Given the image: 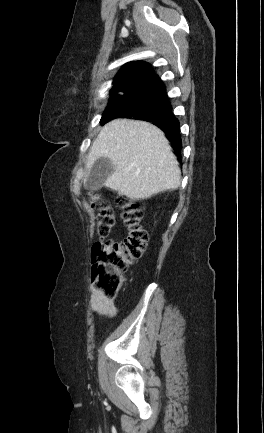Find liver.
<instances>
[{
	"label": "liver",
	"instance_id": "6515ba94",
	"mask_svg": "<svg viewBox=\"0 0 264 433\" xmlns=\"http://www.w3.org/2000/svg\"><path fill=\"white\" fill-rule=\"evenodd\" d=\"M100 157L114 165L104 185L130 199H147L180 186L181 171L169 142L148 122L114 119L107 123L92 143L86 174Z\"/></svg>",
	"mask_w": 264,
	"mask_h": 433
}]
</instances>
